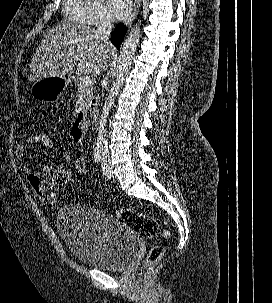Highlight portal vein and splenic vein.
Listing matches in <instances>:
<instances>
[{"label":"portal vein and splenic vein","mask_w":272,"mask_h":303,"mask_svg":"<svg viewBox=\"0 0 272 303\" xmlns=\"http://www.w3.org/2000/svg\"><path fill=\"white\" fill-rule=\"evenodd\" d=\"M80 83L83 84V85H91L92 84V79L90 76L88 75H84V76H81L80 77Z\"/></svg>","instance_id":"portal-vein-and-splenic-vein-1"}]
</instances>
